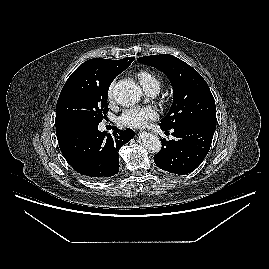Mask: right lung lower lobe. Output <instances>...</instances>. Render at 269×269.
I'll return each mask as SVG.
<instances>
[{
    "label": "right lung lower lobe",
    "instance_id": "98d812e1",
    "mask_svg": "<svg viewBox=\"0 0 269 269\" xmlns=\"http://www.w3.org/2000/svg\"><path fill=\"white\" fill-rule=\"evenodd\" d=\"M131 129L100 132L98 125L67 124L56 126L59 147L66 161L83 177L101 180L119 171L118 151L134 137Z\"/></svg>",
    "mask_w": 269,
    "mask_h": 269
}]
</instances>
